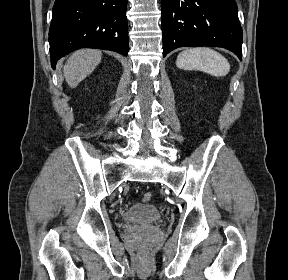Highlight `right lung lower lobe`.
<instances>
[{
	"instance_id": "1",
	"label": "right lung lower lobe",
	"mask_w": 288,
	"mask_h": 280,
	"mask_svg": "<svg viewBox=\"0 0 288 280\" xmlns=\"http://www.w3.org/2000/svg\"><path fill=\"white\" fill-rule=\"evenodd\" d=\"M127 0H56L49 30L51 65L80 48L128 54Z\"/></svg>"
}]
</instances>
